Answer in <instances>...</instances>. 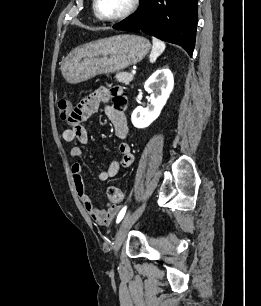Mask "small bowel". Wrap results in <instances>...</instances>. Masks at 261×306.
<instances>
[{
  "label": "small bowel",
  "instance_id": "obj_1",
  "mask_svg": "<svg viewBox=\"0 0 261 306\" xmlns=\"http://www.w3.org/2000/svg\"><path fill=\"white\" fill-rule=\"evenodd\" d=\"M100 105H104L105 113L114 127L115 135L122 140L118 147L121 159L119 161H112L107 169L97 172V178L100 181H107L115 177L121 167H129L134 161L131 146L125 141L128 135V124L124 112L125 98L121 87H99L80 101L67 119L70 127L62 132V138L66 142H77L80 145H86L89 137L83 122L96 112ZM69 155L72 158H84L82 148L77 145L70 148ZM71 173L77 195L89 216L100 226L109 225L116 217L120 207L117 204H110L105 210L97 209L87 194L81 165L79 163L72 164Z\"/></svg>",
  "mask_w": 261,
  "mask_h": 306
}]
</instances>
